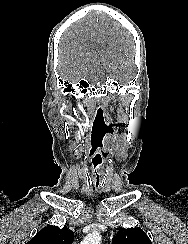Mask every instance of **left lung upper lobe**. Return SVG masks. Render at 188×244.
Masks as SVG:
<instances>
[{
  "label": "left lung upper lobe",
  "instance_id": "5c2ea615",
  "mask_svg": "<svg viewBox=\"0 0 188 244\" xmlns=\"http://www.w3.org/2000/svg\"><path fill=\"white\" fill-rule=\"evenodd\" d=\"M112 244H152V242L142 229L120 228Z\"/></svg>",
  "mask_w": 188,
  "mask_h": 244
}]
</instances>
